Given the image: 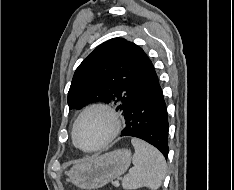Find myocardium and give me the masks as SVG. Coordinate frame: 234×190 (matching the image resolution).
<instances>
[{
	"label": "myocardium",
	"mask_w": 234,
	"mask_h": 190,
	"mask_svg": "<svg viewBox=\"0 0 234 190\" xmlns=\"http://www.w3.org/2000/svg\"><path fill=\"white\" fill-rule=\"evenodd\" d=\"M94 112H99L103 113L104 115L107 116L111 123V129L108 134V136L98 145L93 146L91 148H85L80 143L78 142L77 139V132L79 125L81 121L89 114L94 113ZM121 129V120L119 118L118 113L109 105L103 104V103H95L87 106L77 117V119L74 122L73 128H72V139L73 143L82 151L85 152H95L97 150H100L104 147H106L109 143H111L115 137L119 134Z\"/></svg>",
	"instance_id": "f54148a6"
}]
</instances>
